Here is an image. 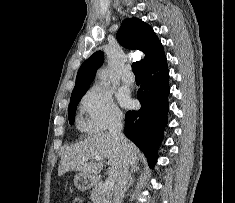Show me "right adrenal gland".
Wrapping results in <instances>:
<instances>
[{
	"instance_id": "obj_1",
	"label": "right adrenal gland",
	"mask_w": 235,
	"mask_h": 203,
	"mask_svg": "<svg viewBox=\"0 0 235 203\" xmlns=\"http://www.w3.org/2000/svg\"><path fill=\"white\" fill-rule=\"evenodd\" d=\"M132 171L130 172L129 174V178H128V184H127V187H126V191L130 188V186H132L134 184V178L132 176Z\"/></svg>"
}]
</instances>
